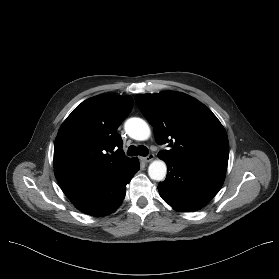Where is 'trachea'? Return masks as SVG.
I'll return each mask as SVG.
<instances>
[{
  "label": "trachea",
  "mask_w": 279,
  "mask_h": 279,
  "mask_svg": "<svg viewBox=\"0 0 279 279\" xmlns=\"http://www.w3.org/2000/svg\"><path fill=\"white\" fill-rule=\"evenodd\" d=\"M148 148L146 146H143V145H140L138 147L134 146V145H131L129 148H128V152L127 154L129 156H137L138 154L140 156H147L148 155Z\"/></svg>",
  "instance_id": "3493384b"
}]
</instances>
